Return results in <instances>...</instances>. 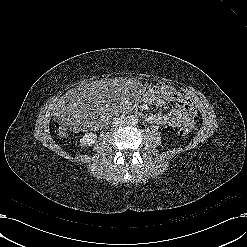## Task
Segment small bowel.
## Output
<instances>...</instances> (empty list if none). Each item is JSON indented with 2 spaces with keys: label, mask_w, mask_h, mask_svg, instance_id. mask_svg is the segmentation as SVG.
I'll return each instance as SVG.
<instances>
[{
  "label": "small bowel",
  "mask_w": 247,
  "mask_h": 247,
  "mask_svg": "<svg viewBox=\"0 0 247 247\" xmlns=\"http://www.w3.org/2000/svg\"><path fill=\"white\" fill-rule=\"evenodd\" d=\"M164 90L162 97L154 99L147 97V100L156 106L170 109L171 115L149 114L147 121L151 124L178 128L189 125L193 127L195 109L193 103L184 96L178 89L168 84H160Z\"/></svg>",
  "instance_id": "obj_1"
}]
</instances>
